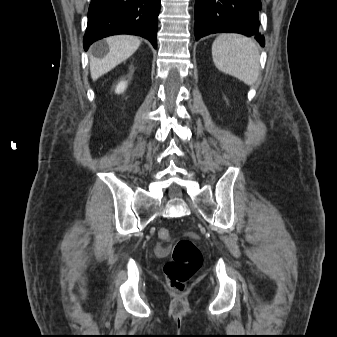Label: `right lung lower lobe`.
I'll list each match as a JSON object with an SVG mask.
<instances>
[{"label": "right lung lower lobe", "instance_id": "98d812e1", "mask_svg": "<svg viewBox=\"0 0 337 337\" xmlns=\"http://www.w3.org/2000/svg\"><path fill=\"white\" fill-rule=\"evenodd\" d=\"M160 0H92L84 49L104 37L133 34L148 39L157 47V24Z\"/></svg>", "mask_w": 337, "mask_h": 337}]
</instances>
